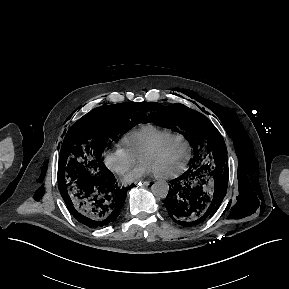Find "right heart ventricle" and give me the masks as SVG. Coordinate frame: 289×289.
Masks as SVG:
<instances>
[{
	"mask_svg": "<svg viewBox=\"0 0 289 289\" xmlns=\"http://www.w3.org/2000/svg\"><path fill=\"white\" fill-rule=\"evenodd\" d=\"M174 132L173 130L153 124H145L126 132L121 137V144L129 149L135 156L140 154L163 136Z\"/></svg>",
	"mask_w": 289,
	"mask_h": 289,
	"instance_id": "right-heart-ventricle-1",
	"label": "right heart ventricle"
}]
</instances>
